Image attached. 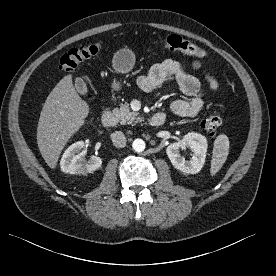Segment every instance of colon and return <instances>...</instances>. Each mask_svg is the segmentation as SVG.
Returning a JSON list of instances; mask_svg holds the SVG:
<instances>
[{
	"label": "colon",
	"instance_id": "1",
	"mask_svg": "<svg viewBox=\"0 0 276 276\" xmlns=\"http://www.w3.org/2000/svg\"><path fill=\"white\" fill-rule=\"evenodd\" d=\"M161 47L170 51H178L194 58H204L205 51L192 42L179 35H168L159 40ZM101 51L99 42H87L86 44L69 50L60 59V70L73 71L79 63L96 56ZM222 117L218 110L211 112L201 122V127L211 136L216 135L222 126Z\"/></svg>",
	"mask_w": 276,
	"mask_h": 276
}]
</instances>
